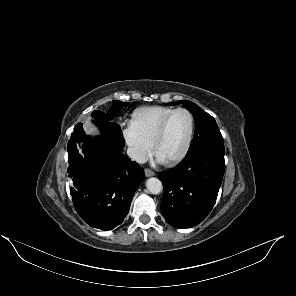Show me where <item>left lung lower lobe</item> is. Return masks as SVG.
<instances>
[{
  "mask_svg": "<svg viewBox=\"0 0 296 296\" xmlns=\"http://www.w3.org/2000/svg\"><path fill=\"white\" fill-rule=\"evenodd\" d=\"M224 144L201 148L173 169L158 174L164 194L161 212L176 228H190L203 221L213 208L225 170Z\"/></svg>",
  "mask_w": 296,
  "mask_h": 296,
  "instance_id": "left-lung-lower-lobe-1",
  "label": "left lung lower lobe"
}]
</instances>
